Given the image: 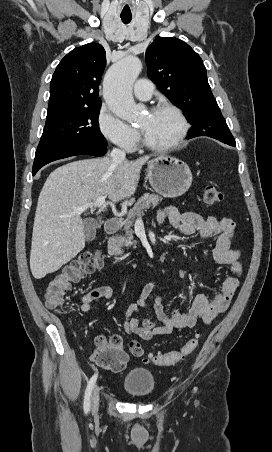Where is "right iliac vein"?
Masks as SVG:
<instances>
[{
    "mask_svg": "<svg viewBox=\"0 0 272 452\" xmlns=\"http://www.w3.org/2000/svg\"><path fill=\"white\" fill-rule=\"evenodd\" d=\"M99 387L96 385L94 387L93 393H92V398H91V402H92V410L93 412H96L98 409V405H99Z\"/></svg>",
    "mask_w": 272,
    "mask_h": 452,
    "instance_id": "63e3f726",
    "label": "right iliac vein"
}]
</instances>
